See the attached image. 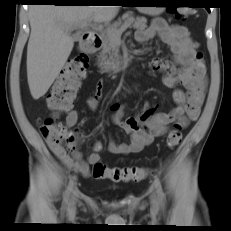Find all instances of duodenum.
<instances>
[{"instance_id": "duodenum-1", "label": "duodenum", "mask_w": 231, "mask_h": 231, "mask_svg": "<svg viewBox=\"0 0 231 231\" xmlns=\"http://www.w3.org/2000/svg\"><path fill=\"white\" fill-rule=\"evenodd\" d=\"M102 41L100 35L94 31H88L83 34L81 50L84 53L90 54L95 52L101 47ZM121 64L125 63V60H121Z\"/></svg>"}]
</instances>
